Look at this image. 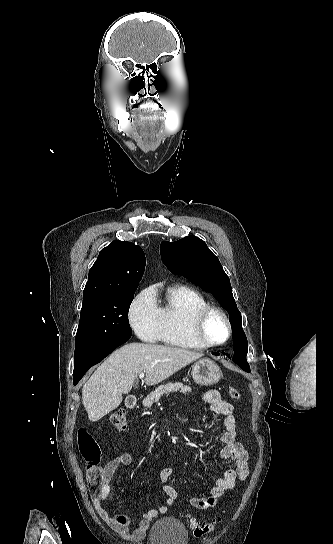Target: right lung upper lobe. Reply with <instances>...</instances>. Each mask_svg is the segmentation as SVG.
Returning <instances> with one entry per match:
<instances>
[{
    "label": "right lung upper lobe",
    "instance_id": "obj_1",
    "mask_svg": "<svg viewBox=\"0 0 333 544\" xmlns=\"http://www.w3.org/2000/svg\"><path fill=\"white\" fill-rule=\"evenodd\" d=\"M145 263V255L140 246L126 241H113L100 251L89 271L83 291V303L98 297L136 290L143 276Z\"/></svg>",
    "mask_w": 333,
    "mask_h": 544
}]
</instances>
